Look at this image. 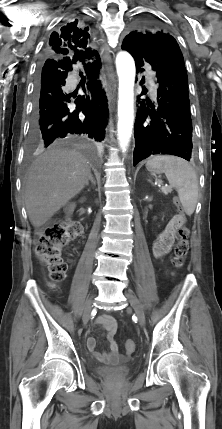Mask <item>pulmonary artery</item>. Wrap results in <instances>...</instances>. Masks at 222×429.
Masks as SVG:
<instances>
[{"label":"pulmonary artery","instance_id":"pulmonary-artery-1","mask_svg":"<svg viewBox=\"0 0 222 429\" xmlns=\"http://www.w3.org/2000/svg\"><path fill=\"white\" fill-rule=\"evenodd\" d=\"M147 76H148V78H149V80H150V87H151V90H152V92L154 93V92H155V85H154V78H153V75L149 73Z\"/></svg>","mask_w":222,"mask_h":429}]
</instances>
